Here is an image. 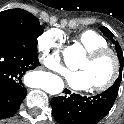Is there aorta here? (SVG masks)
I'll use <instances>...</instances> for the list:
<instances>
[{"instance_id":"aorta-1","label":"aorta","mask_w":124,"mask_h":124,"mask_svg":"<svg viewBox=\"0 0 124 124\" xmlns=\"http://www.w3.org/2000/svg\"><path fill=\"white\" fill-rule=\"evenodd\" d=\"M73 57L78 58L79 55L71 54ZM64 89V83L58 76H51L44 84L43 90L51 95L59 94Z\"/></svg>"}]
</instances>
